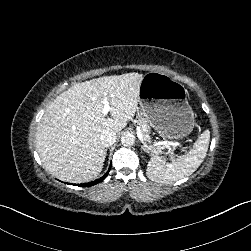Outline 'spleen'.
<instances>
[{
	"mask_svg": "<svg viewBox=\"0 0 251 251\" xmlns=\"http://www.w3.org/2000/svg\"><path fill=\"white\" fill-rule=\"evenodd\" d=\"M210 140L209 131H205L195 140L189 153L177 156L167 162L157 156L148 164L147 176L158 183H168L192 174L204 160Z\"/></svg>",
	"mask_w": 251,
	"mask_h": 251,
	"instance_id": "spleen-1",
	"label": "spleen"
}]
</instances>
